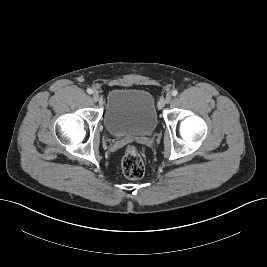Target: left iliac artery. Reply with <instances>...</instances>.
<instances>
[{"label":"left iliac artery","mask_w":267,"mask_h":267,"mask_svg":"<svg viewBox=\"0 0 267 267\" xmlns=\"http://www.w3.org/2000/svg\"><path fill=\"white\" fill-rule=\"evenodd\" d=\"M178 94V91L177 90H173L172 91V96H176Z\"/></svg>","instance_id":"44dca946"}]
</instances>
